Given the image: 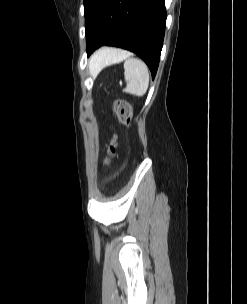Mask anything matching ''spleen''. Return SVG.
<instances>
[{
    "mask_svg": "<svg viewBox=\"0 0 247 304\" xmlns=\"http://www.w3.org/2000/svg\"><path fill=\"white\" fill-rule=\"evenodd\" d=\"M123 60H125L124 76L127 82L124 92L143 96L149 85V71L147 65L142 60L130 58L127 53L120 52L109 56L102 67L119 63Z\"/></svg>",
    "mask_w": 247,
    "mask_h": 304,
    "instance_id": "3e777b00",
    "label": "spleen"
}]
</instances>
